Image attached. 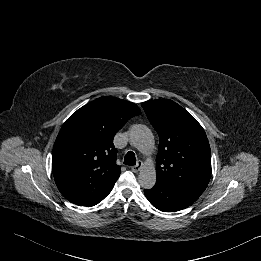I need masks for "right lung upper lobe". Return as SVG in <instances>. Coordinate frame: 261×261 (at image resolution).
Wrapping results in <instances>:
<instances>
[{
    "mask_svg": "<svg viewBox=\"0 0 261 261\" xmlns=\"http://www.w3.org/2000/svg\"><path fill=\"white\" fill-rule=\"evenodd\" d=\"M140 114L134 103L100 97L68 118L52 151L54 179L67 200L87 206L110 193L121 173L113 138Z\"/></svg>",
    "mask_w": 261,
    "mask_h": 261,
    "instance_id": "1",
    "label": "right lung upper lobe"
}]
</instances>
